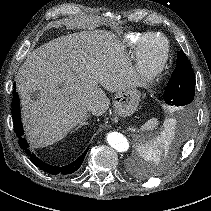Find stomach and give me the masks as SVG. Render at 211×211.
<instances>
[{
    "label": "stomach",
    "mask_w": 211,
    "mask_h": 211,
    "mask_svg": "<svg viewBox=\"0 0 211 211\" xmlns=\"http://www.w3.org/2000/svg\"><path fill=\"white\" fill-rule=\"evenodd\" d=\"M140 97V92L134 87L118 91L114 98L116 113L123 117L131 115L137 109Z\"/></svg>",
    "instance_id": "stomach-1"
}]
</instances>
